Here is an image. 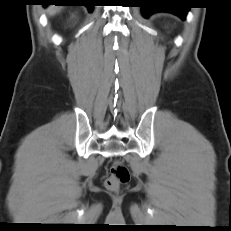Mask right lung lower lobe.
<instances>
[{
    "mask_svg": "<svg viewBox=\"0 0 231 231\" xmlns=\"http://www.w3.org/2000/svg\"><path fill=\"white\" fill-rule=\"evenodd\" d=\"M44 6L55 4V5H84L90 12L93 11V6L89 3V0H44Z\"/></svg>",
    "mask_w": 231,
    "mask_h": 231,
    "instance_id": "1",
    "label": "right lung lower lobe"
}]
</instances>
